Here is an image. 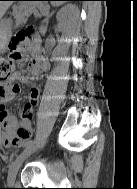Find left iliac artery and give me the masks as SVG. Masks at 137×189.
I'll use <instances>...</instances> for the list:
<instances>
[{"label": "left iliac artery", "mask_w": 137, "mask_h": 189, "mask_svg": "<svg viewBox=\"0 0 137 189\" xmlns=\"http://www.w3.org/2000/svg\"><path fill=\"white\" fill-rule=\"evenodd\" d=\"M33 144H34V141H29V142L26 144V149L32 148Z\"/></svg>", "instance_id": "1"}]
</instances>
